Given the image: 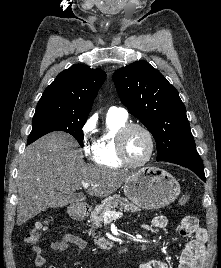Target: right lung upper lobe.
Returning <instances> with one entry per match:
<instances>
[{"label":"right lung upper lobe","instance_id":"cb5924a9","mask_svg":"<svg viewBox=\"0 0 221 268\" xmlns=\"http://www.w3.org/2000/svg\"><path fill=\"white\" fill-rule=\"evenodd\" d=\"M105 79L106 74L100 69L74 64L62 71L45 89L36 111H65L88 117Z\"/></svg>","mask_w":221,"mask_h":268}]
</instances>
